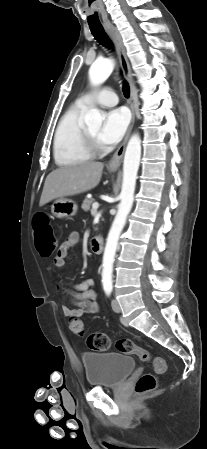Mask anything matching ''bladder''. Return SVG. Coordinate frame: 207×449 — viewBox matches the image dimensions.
Listing matches in <instances>:
<instances>
[{
	"label": "bladder",
	"mask_w": 207,
	"mask_h": 449,
	"mask_svg": "<svg viewBox=\"0 0 207 449\" xmlns=\"http://www.w3.org/2000/svg\"><path fill=\"white\" fill-rule=\"evenodd\" d=\"M87 383L92 387H116L135 370V360L117 352H86L82 356Z\"/></svg>",
	"instance_id": "bladder-1"
}]
</instances>
